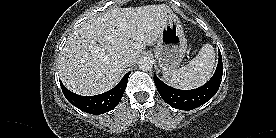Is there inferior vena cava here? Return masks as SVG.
I'll return each instance as SVG.
<instances>
[{
  "instance_id": "602c4592",
  "label": "inferior vena cava",
  "mask_w": 276,
  "mask_h": 138,
  "mask_svg": "<svg viewBox=\"0 0 276 138\" xmlns=\"http://www.w3.org/2000/svg\"><path fill=\"white\" fill-rule=\"evenodd\" d=\"M121 62L125 66H131L134 63V58L131 55H125L121 58Z\"/></svg>"
}]
</instances>
